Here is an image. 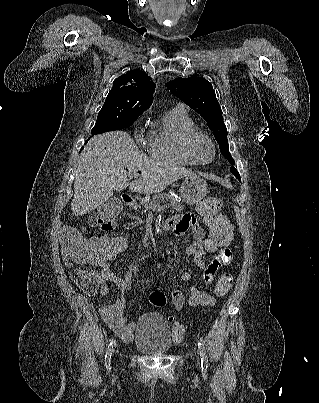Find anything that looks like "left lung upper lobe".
<instances>
[{
	"mask_svg": "<svg viewBox=\"0 0 319 403\" xmlns=\"http://www.w3.org/2000/svg\"><path fill=\"white\" fill-rule=\"evenodd\" d=\"M166 87L206 120L219 144L221 154L234 165L235 161L228 148L227 129L222 110L211 83L201 77L177 78L166 83ZM230 171L241 180L235 167H231Z\"/></svg>",
	"mask_w": 319,
	"mask_h": 403,
	"instance_id": "left-lung-upper-lobe-1",
	"label": "left lung upper lobe"
}]
</instances>
